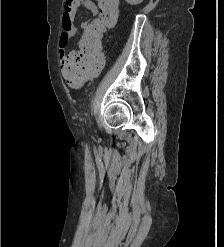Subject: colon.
I'll return each mask as SVG.
<instances>
[{
	"mask_svg": "<svg viewBox=\"0 0 224 247\" xmlns=\"http://www.w3.org/2000/svg\"><path fill=\"white\" fill-rule=\"evenodd\" d=\"M75 0H66L63 12L69 13ZM119 0H98L99 17L85 29L80 41V50L62 63L64 78L72 85L80 84L95 75L101 68L99 56L103 33L114 27L118 18Z\"/></svg>",
	"mask_w": 224,
	"mask_h": 247,
	"instance_id": "colon-1",
	"label": "colon"
}]
</instances>
